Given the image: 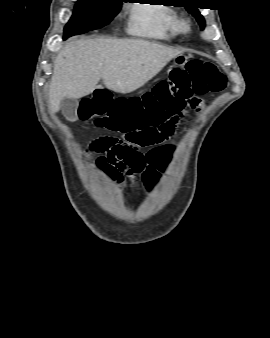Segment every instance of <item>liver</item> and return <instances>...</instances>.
I'll return each mask as SVG.
<instances>
[{"mask_svg":"<svg viewBox=\"0 0 270 338\" xmlns=\"http://www.w3.org/2000/svg\"><path fill=\"white\" fill-rule=\"evenodd\" d=\"M182 52L142 39H86L67 43L57 55L49 86V108L60 110L64 98L92 93L100 79L105 87L130 93L156 76Z\"/></svg>","mask_w":270,"mask_h":338,"instance_id":"liver-1","label":"liver"}]
</instances>
